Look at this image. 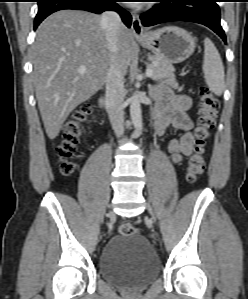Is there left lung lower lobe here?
<instances>
[{"instance_id": "0a47b994", "label": "left lung lower lobe", "mask_w": 248, "mask_h": 299, "mask_svg": "<svg viewBox=\"0 0 248 299\" xmlns=\"http://www.w3.org/2000/svg\"><path fill=\"white\" fill-rule=\"evenodd\" d=\"M150 14L140 17L144 26H153L169 21H189L203 24L212 29L226 43L220 25V10L217 0H158Z\"/></svg>"}]
</instances>
